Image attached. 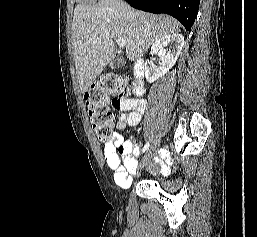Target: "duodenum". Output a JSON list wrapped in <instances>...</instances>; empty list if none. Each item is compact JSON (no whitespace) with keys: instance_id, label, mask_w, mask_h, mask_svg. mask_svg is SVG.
Segmentation results:
<instances>
[{"instance_id":"duodenum-1","label":"duodenum","mask_w":257,"mask_h":237,"mask_svg":"<svg viewBox=\"0 0 257 237\" xmlns=\"http://www.w3.org/2000/svg\"><path fill=\"white\" fill-rule=\"evenodd\" d=\"M134 86L136 94L141 95L144 89L145 64L143 60H137L134 65Z\"/></svg>"}]
</instances>
